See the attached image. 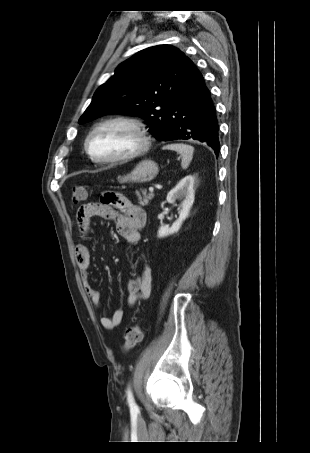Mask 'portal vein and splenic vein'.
Segmentation results:
<instances>
[{
    "instance_id": "portal-vein-and-splenic-vein-1",
    "label": "portal vein and splenic vein",
    "mask_w": 310,
    "mask_h": 453,
    "mask_svg": "<svg viewBox=\"0 0 310 453\" xmlns=\"http://www.w3.org/2000/svg\"><path fill=\"white\" fill-rule=\"evenodd\" d=\"M149 191H150L151 193H153V192H154V187H152V186L149 187Z\"/></svg>"
}]
</instances>
